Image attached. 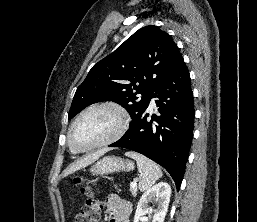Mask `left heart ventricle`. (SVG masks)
Instances as JSON below:
<instances>
[{"mask_svg":"<svg viewBox=\"0 0 257 222\" xmlns=\"http://www.w3.org/2000/svg\"><path fill=\"white\" fill-rule=\"evenodd\" d=\"M118 125L119 117L112 110L91 111L76 124L73 130V142L79 148L93 146L110 137Z\"/></svg>","mask_w":257,"mask_h":222,"instance_id":"1","label":"left heart ventricle"}]
</instances>
